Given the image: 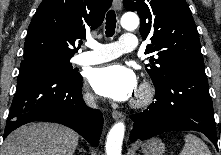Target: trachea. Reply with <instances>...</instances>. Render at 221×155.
I'll return each mask as SVG.
<instances>
[{"label": "trachea", "mask_w": 221, "mask_h": 155, "mask_svg": "<svg viewBox=\"0 0 221 155\" xmlns=\"http://www.w3.org/2000/svg\"><path fill=\"white\" fill-rule=\"evenodd\" d=\"M106 36L112 37L115 33L116 28V14L113 10L108 11L106 15Z\"/></svg>", "instance_id": "1"}]
</instances>
